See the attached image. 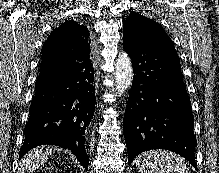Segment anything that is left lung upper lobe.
<instances>
[{"instance_id":"5c2ea615","label":"left lung upper lobe","mask_w":219,"mask_h":173,"mask_svg":"<svg viewBox=\"0 0 219 173\" xmlns=\"http://www.w3.org/2000/svg\"><path fill=\"white\" fill-rule=\"evenodd\" d=\"M123 30L124 41L174 47L172 40L160 24L139 13L133 12L127 17Z\"/></svg>"}]
</instances>
